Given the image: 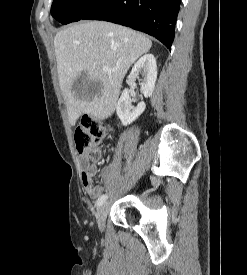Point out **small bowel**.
<instances>
[{
  "label": "small bowel",
  "mask_w": 247,
  "mask_h": 275,
  "mask_svg": "<svg viewBox=\"0 0 247 275\" xmlns=\"http://www.w3.org/2000/svg\"><path fill=\"white\" fill-rule=\"evenodd\" d=\"M98 151L101 154V151L99 149ZM80 165L82 186L91 199H96L101 195L103 191L102 186L94 185L93 183V178L98 173V168L95 163L89 162V158L85 154H82L80 157ZM114 169V164L105 166L101 171V177L103 178V180H105L106 182L112 181Z\"/></svg>",
  "instance_id": "obj_1"
}]
</instances>
